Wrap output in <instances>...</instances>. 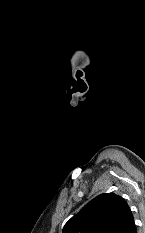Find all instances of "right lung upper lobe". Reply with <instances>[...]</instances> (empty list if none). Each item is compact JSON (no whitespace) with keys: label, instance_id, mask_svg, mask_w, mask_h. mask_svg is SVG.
Listing matches in <instances>:
<instances>
[{"label":"right lung upper lobe","instance_id":"right-lung-upper-lobe-1","mask_svg":"<svg viewBox=\"0 0 145 233\" xmlns=\"http://www.w3.org/2000/svg\"><path fill=\"white\" fill-rule=\"evenodd\" d=\"M136 225L127 202L114 193L100 194L64 226L63 233H133Z\"/></svg>","mask_w":145,"mask_h":233}]
</instances>
